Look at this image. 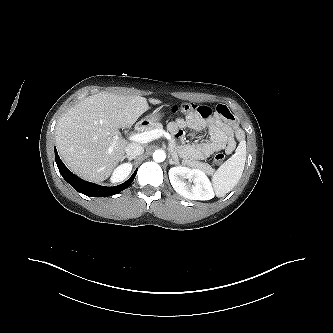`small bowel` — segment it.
I'll use <instances>...</instances> for the list:
<instances>
[{"instance_id": "small-bowel-1", "label": "small bowel", "mask_w": 333, "mask_h": 333, "mask_svg": "<svg viewBox=\"0 0 333 333\" xmlns=\"http://www.w3.org/2000/svg\"><path fill=\"white\" fill-rule=\"evenodd\" d=\"M171 133L180 141L184 139V128L207 131L209 140L197 144H182L181 152L194 159L203 160L213 153L225 150L230 154L236 141L244 138L235 116L226 105L219 104L215 110L201 106L198 111L189 112L184 118H177L168 124Z\"/></svg>"}]
</instances>
